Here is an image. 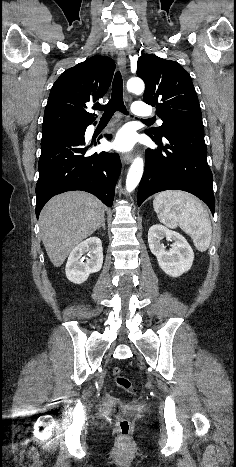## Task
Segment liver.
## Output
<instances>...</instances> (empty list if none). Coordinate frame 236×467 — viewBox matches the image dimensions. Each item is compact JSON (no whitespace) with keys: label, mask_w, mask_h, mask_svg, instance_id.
Listing matches in <instances>:
<instances>
[{"label":"liver","mask_w":236,"mask_h":467,"mask_svg":"<svg viewBox=\"0 0 236 467\" xmlns=\"http://www.w3.org/2000/svg\"><path fill=\"white\" fill-rule=\"evenodd\" d=\"M104 214L103 203L87 192H65L47 202L39 223L44 247L55 267L101 226Z\"/></svg>","instance_id":"6515ba94"}]
</instances>
